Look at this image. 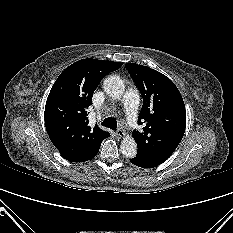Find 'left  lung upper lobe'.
I'll return each mask as SVG.
<instances>
[{"instance_id": "left-lung-upper-lobe-1", "label": "left lung upper lobe", "mask_w": 233, "mask_h": 233, "mask_svg": "<svg viewBox=\"0 0 233 233\" xmlns=\"http://www.w3.org/2000/svg\"><path fill=\"white\" fill-rule=\"evenodd\" d=\"M125 68L143 98L138 124L144 127L132 132L138 146L136 157L156 167L171 156L183 138L185 105L175 84L162 73L135 63H127Z\"/></svg>"}]
</instances>
